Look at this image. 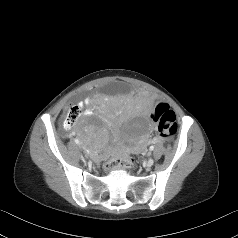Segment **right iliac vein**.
<instances>
[{"instance_id": "63e3f726", "label": "right iliac vein", "mask_w": 238, "mask_h": 238, "mask_svg": "<svg viewBox=\"0 0 238 238\" xmlns=\"http://www.w3.org/2000/svg\"><path fill=\"white\" fill-rule=\"evenodd\" d=\"M80 157H81V161H82V162H85V159H84L83 154H80Z\"/></svg>"}]
</instances>
